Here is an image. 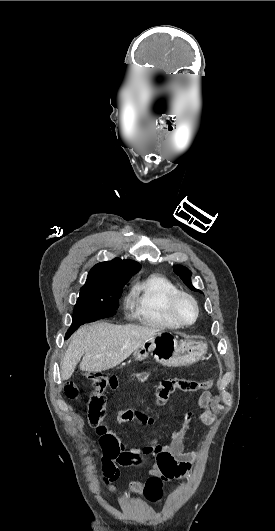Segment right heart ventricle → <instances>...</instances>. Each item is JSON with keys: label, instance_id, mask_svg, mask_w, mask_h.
Returning <instances> with one entry per match:
<instances>
[{"label": "right heart ventricle", "instance_id": "right-heart-ventricle-1", "mask_svg": "<svg viewBox=\"0 0 275 531\" xmlns=\"http://www.w3.org/2000/svg\"><path fill=\"white\" fill-rule=\"evenodd\" d=\"M176 290V286L162 275L151 274L140 279L133 290L135 314L153 326L179 328L167 307L169 297Z\"/></svg>", "mask_w": 275, "mask_h": 531}]
</instances>
